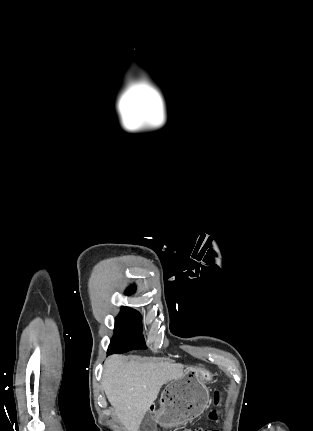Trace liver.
<instances>
[{"mask_svg":"<svg viewBox=\"0 0 313 431\" xmlns=\"http://www.w3.org/2000/svg\"><path fill=\"white\" fill-rule=\"evenodd\" d=\"M182 364L113 355L104 365L102 386L126 431H138L161 387L184 374Z\"/></svg>","mask_w":313,"mask_h":431,"instance_id":"1","label":"liver"}]
</instances>
